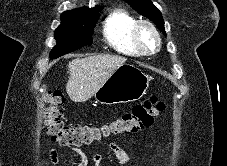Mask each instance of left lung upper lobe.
I'll return each mask as SVG.
<instances>
[{
	"label": "left lung upper lobe",
	"mask_w": 227,
	"mask_h": 166,
	"mask_svg": "<svg viewBox=\"0 0 227 166\" xmlns=\"http://www.w3.org/2000/svg\"><path fill=\"white\" fill-rule=\"evenodd\" d=\"M142 16L147 17L166 35L161 12L152 4L151 0H125Z\"/></svg>",
	"instance_id": "obj_1"
}]
</instances>
